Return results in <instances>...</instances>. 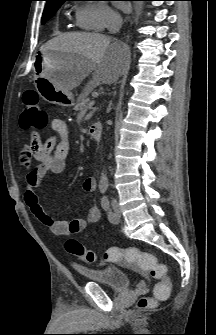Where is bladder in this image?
I'll use <instances>...</instances> for the list:
<instances>
[{"instance_id": "obj_1", "label": "bladder", "mask_w": 216, "mask_h": 335, "mask_svg": "<svg viewBox=\"0 0 216 335\" xmlns=\"http://www.w3.org/2000/svg\"><path fill=\"white\" fill-rule=\"evenodd\" d=\"M75 270L87 280L98 282L112 290H127L130 288V274L115 267H76Z\"/></svg>"}]
</instances>
